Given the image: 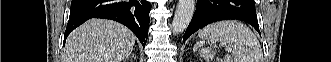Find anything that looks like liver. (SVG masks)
<instances>
[{
    "label": "liver",
    "instance_id": "6515ba94",
    "mask_svg": "<svg viewBox=\"0 0 331 62\" xmlns=\"http://www.w3.org/2000/svg\"><path fill=\"white\" fill-rule=\"evenodd\" d=\"M135 40L120 23L91 19L69 35L63 62H121L131 54Z\"/></svg>",
    "mask_w": 331,
    "mask_h": 62
}]
</instances>
